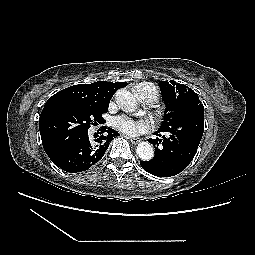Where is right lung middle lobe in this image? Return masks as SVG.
Segmentation results:
<instances>
[{"instance_id": "right-lung-middle-lobe-1", "label": "right lung middle lobe", "mask_w": 255, "mask_h": 255, "mask_svg": "<svg viewBox=\"0 0 255 255\" xmlns=\"http://www.w3.org/2000/svg\"><path fill=\"white\" fill-rule=\"evenodd\" d=\"M107 109L108 104L53 105L42 110L39 129L48 140L57 144H65L88 132L93 122L103 123L102 114L106 113Z\"/></svg>"}]
</instances>
